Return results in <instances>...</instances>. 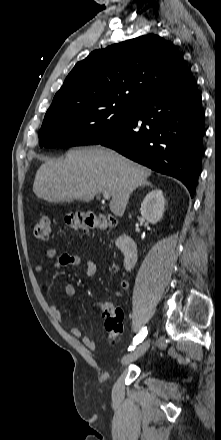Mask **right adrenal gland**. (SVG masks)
Segmentation results:
<instances>
[{
	"label": "right adrenal gland",
	"instance_id": "1",
	"mask_svg": "<svg viewBox=\"0 0 221 440\" xmlns=\"http://www.w3.org/2000/svg\"><path fill=\"white\" fill-rule=\"evenodd\" d=\"M146 185H148V186H150V187H153L152 186V184L149 182V181H144L143 183H142V185L141 186H146Z\"/></svg>",
	"mask_w": 221,
	"mask_h": 440
}]
</instances>
